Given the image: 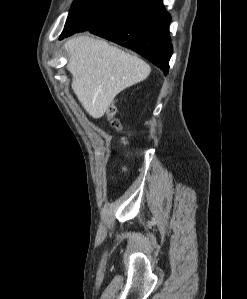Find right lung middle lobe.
Returning a JSON list of instances; mask_svg holds the SVG:
<instances>
[{
    "label": "right lung middle lobe",
    "instance_id": "right-lung-middle-lobe-1",
    "mask_svg": "<svg viewBox=\"0 0 247 299\" xmlns=\"http://www.w3.org/2000/svg\"><path fill=\"white\" fill-rule=\"evenodd\" d=\"M135 0H74L61 37L91 30L125 12Z\"/></svg>",
    "mask_w": 247,
    "mask_h": 299
}]
</instances>
